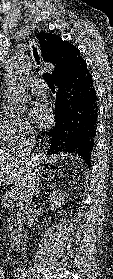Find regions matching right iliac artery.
Here are the masks:
<instances>
[{"label":"right iliac artery","instance_id":"right-iliac-artery-1","mask_svg":"<svg viewBox=\"0 0 113 279\" xmlns=\"http://www.w3.org/2000/svg\"><path fill=\"white\" fill-rule=\"evenodd\" d=\"M14 277L15 279H25L27 276V271L23 268H18L17 270H14Z\"/></svg>","mask_w":113,"mask_h":279}]
</instances>
